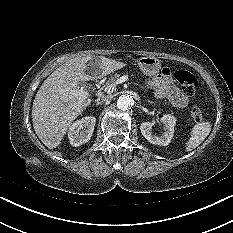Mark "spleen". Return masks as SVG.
<instances>
[{
	"mask_svg": "<svg viewBox=\"0 0 233 233\" xmlns=\"http://www.w3.org/2000/svg\"><path fill=\"white\" fill-rule=\"evenodd\" d=\"M211 131V123L203 121L195 124L190 132V138L186 145V152H190L198 147L209 135Z\"/></svg>",
	"mask_w": 233,
	"mask_h": 233,
	"instance_id": "3e777b00",
	"label": "spleen"
}]
</instances>
